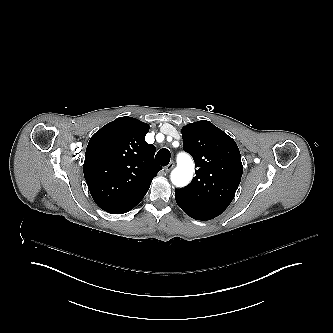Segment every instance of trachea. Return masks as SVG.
<instances>
[{
	"label": "trachea",
	"mask_w": 333,
	"mask_h": 333,
	"mask_svg": "<svg viewBox=\"0 0 333 333\" xmlns=\"http://www.w3.org/2000/svg\"><path fill=\"white\" fill-rule=\"evenodd\" d=\"M170 152L168 149H161L155 156V160L162 166H166L170 162Z\"/></svg>",
	"instance_id": "obj_1"
}]
</instances>
